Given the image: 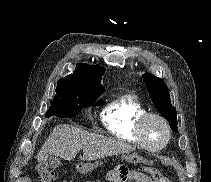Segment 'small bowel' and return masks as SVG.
Returning <instances> with one entry per match:
<instances>
[{"label": "small bowel", "mask_w": 211, "mask_h": 182, "mask_svg": "<svg viewBox=\"0 0 211 182\" xmlns=\"http://www.w3.org/2000/svg\"><path fill=\"white\" fill-rule=\"evenodd\" d=\"M112 174H113L112 171H110V172L107 174V179L110 180V181H112V180H111Z\"/></svg>", "instance_id": "small-bowel-1"}]
</instances>
